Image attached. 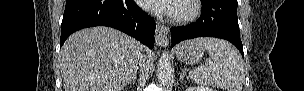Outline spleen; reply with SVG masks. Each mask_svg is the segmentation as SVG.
<instances>
[{
  "label": "spleen",
  "mask_w": 304,
  "mask_h": 91,
  "mask_svg": "<svg viewBox=\"0 0 304 91\" xmlns=\"http://www.w3.org/2000/svg\"><path fill=\"white\" fill-rule=\"evenodd\" d=\"M198 43L208 51L209 60L189 71L196 84L214 86L226 91H242L244 66L236 48L226 40L200 38Z\"/></svg>",
  "instance_id": "1"
}]
</instances>
